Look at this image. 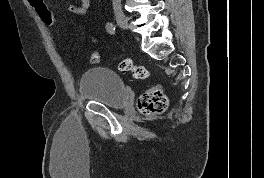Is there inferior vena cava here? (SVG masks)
Returning <instances> with one entry per match:
<instances>
[{"label": "inferior vena cava", "mask_w": 264, "mask_h": 178, "mask_svg": "<svg viewBox=\"0 0 264 178\" xmlns=\"http://www.w3.org/2000/svg\"><path fill=\"white\" fill-rule=\"evenodd\" d=\"M112 5L115 12H122L121 0H112Z\"/></svg>", "instance_id": "1"}]
</instances>
